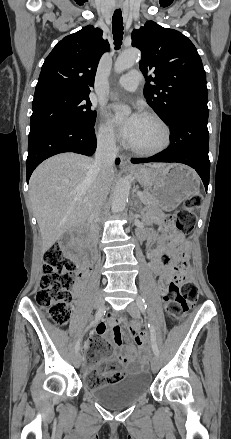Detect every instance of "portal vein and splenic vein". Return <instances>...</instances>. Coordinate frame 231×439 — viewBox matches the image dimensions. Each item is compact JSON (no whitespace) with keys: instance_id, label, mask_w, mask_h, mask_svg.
Masks as SVG:
<instances>
[{"instance_id":"obj_1","label":"portal vein and splenic vein","mask_w":231,"mask_h":439,"mask_svg":"<svg viewBox=\"0 0 231 439\" xmlns=\"http://www.w3.org/2000/svg\"><path fill=\"white\" fill-rule=\"evenodd\" d=\"M137 195L141 197L143 195V193L139 191V192H137Z\"/></svg>"}]
</instances>
